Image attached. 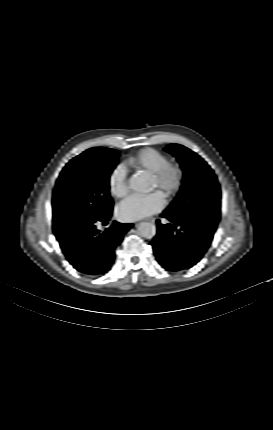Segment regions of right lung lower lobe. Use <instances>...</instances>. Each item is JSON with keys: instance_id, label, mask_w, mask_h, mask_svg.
<instances>
[{"instance_id": "98d812e1", "label": "right lung lower lobe", "mask_w": 273, "mask_h": 430, "mask_svg": "<svg viewBox=\"0 0 273 430\" xmlns=\"http://www.w3.org/2000/svg\"><path fill=\"white\" fill-rule=\"evenodd\" d=\"M112 212L99 217L68 233L56 236L70 264L79 272L89 276L105 274L115 259V249L132 224L116 221L103 233L96 228L98 222L109 221Z\"/></svg>"}]
</instances>
